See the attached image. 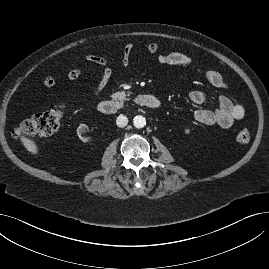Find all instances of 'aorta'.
<instances>
[{
  "label": "aorta",
  "instance_id": "762f6f07",
  "mask_svg": "<svg viewBox=\"0 0 269 269\" xmlns=\"http://www.w3.org/2000/svg\"><path fill=\"white\" fill-rule=\"evenodd\" d=\"M133 124L138 129L143 128L146 125V119L141 115H137L133 119Z\"/></svg>",
  "mask_w": 269,
  "mask_h": 269
}]
</instances>
